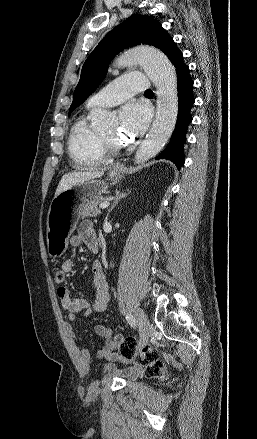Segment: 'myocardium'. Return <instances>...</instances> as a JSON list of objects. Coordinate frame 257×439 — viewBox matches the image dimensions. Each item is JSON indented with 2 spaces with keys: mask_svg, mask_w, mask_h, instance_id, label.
I'll return each instance as SVG.
<instances>
[{
  "mask_svg": "<svg viewBox=\"0 0 257 439\" xmlns=\"http://www.w3.org/2000/svg\"><path fill=\"white\" fill-rule=\"evenodd\" d=\"M102 140H103L104 146H105V148L107 150L111 151L112 153H115V152L118 151L119 144H118V142H117V140L115 138L114 139H108V138H105L103 136Z\"/></svg>",
  "mask_w": 257,
  "mask_h": 439,
  "instance_id": "myocardium-1",
  "label": "myocardium"
}]
</instances>
